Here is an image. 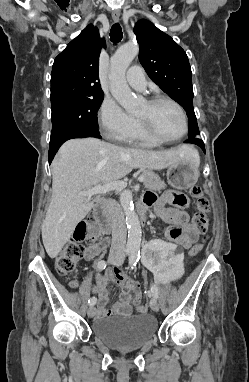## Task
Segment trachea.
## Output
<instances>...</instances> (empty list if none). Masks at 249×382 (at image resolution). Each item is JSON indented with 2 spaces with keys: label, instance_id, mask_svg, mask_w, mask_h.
<instances>
[{
  "label": "trachea",
  "instance_id": "3493384b",
  "mask_svg": "<svg viewBox=\"0 0 249 382\" xmlns=\"http://www.w3.org/2000/svg\"><path fill=\"white\" fill-rule=\"evenodd\" d=\"M122 37V28L119 23H115L110 30V40L116 44L122 40Z\"/></svg>",
  "mask_w": 249,
  "mask_h": 382
}]
</instances>
